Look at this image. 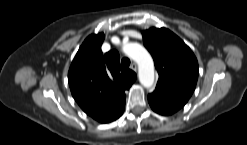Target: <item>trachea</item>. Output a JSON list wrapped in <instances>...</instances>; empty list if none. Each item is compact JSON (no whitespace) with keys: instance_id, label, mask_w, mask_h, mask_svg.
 Returning <instances> with one entry per match:
<instances>
[{"instance_id":"obj_1","label":"trachea","mask_w":247,"mask_h":145,"mask_svg":"<svg viewBox=\"0 0 247 145\" xmlns=\"http://www.w3.org/2000/svg\"><path fill=\"white\" fill-rule=\"evenodd\" d=\"M121 64H122L123 67H129V65H130V59L129 58H126V57L122 58Z\"/></svg>"}]
</instances>
